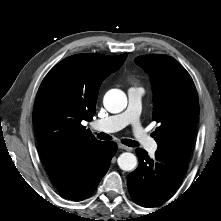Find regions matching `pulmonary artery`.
Returning <instances> with one entry per match:
<instances>
[{"label":"pulmonary artery","mask_w":221,"mask_h":221,"mask_svg":"<svg viewBox=\"0 0 221 221\" xmlns=\"http://www.w3.org/2000/svg\"><path fill=\"white\" fill-rule=\"evenodd\" d=\"M144 94L142 87H131L128 90V106L125 111L98 120L94 123V128L106 133L115 132L132 125L137 142L150 153L157 150V143L149 136L140 123L141 99Z\"/></svg>","instance_id":"1"}]
</instances>
